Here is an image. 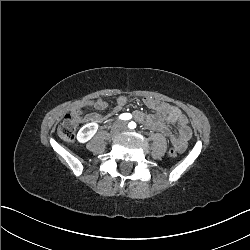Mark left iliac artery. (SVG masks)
<instances>
[{"instance_id":"1","label":"left iliac artery","mask_w":250,"mask_h":250,"mask_svg":"<svg viewBox=\"0 0 250 250\" xmlns=\"http://www.w3.org/2000/svg\"><path fill=\"white\" fill-rule=\"evenodd\" d=\"M128 127L130 128V129H134V128H136V123L135 122H130L129 124H128Z\"/></svg>"}]
</instances>
